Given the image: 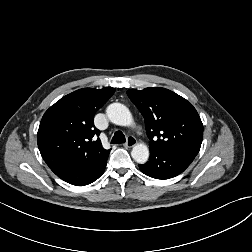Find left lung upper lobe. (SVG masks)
Masks as SVG:
<instances>
[{
  "mask_svg": "<svg viewBox=\"0 0 252 252\" xmlns=\"http://www.w3.org/2000/svg\"><path fill=\"white\" fill-rule=\"evenodd\" d=\"M127 94L144 117L150 153L198 154L203 124L195 108L186 99L158 87L141 91L130 89Z\"/></svg>",
  "mask_w": 252,
  "mask_h": 252,
  "instance_id": "obj_1",
  "label": "left lung upper lobe"
}]
</instances>
